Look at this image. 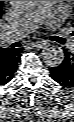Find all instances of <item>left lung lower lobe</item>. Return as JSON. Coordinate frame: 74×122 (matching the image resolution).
Returning <instances> with one entry per match:
<instances>
[{
  "instance_id": "left-lung-lower-lobe-1",
  "label": "left lung lower lobe",
  "mask_w": 74,
  "mask_h": 122,
  "mask_svg": "<svg viewBox=\"0 0 74 122\" xmlns=\"http://www.w3.org/2000/svg\"><path fill=\"white\" fill-rule=\"evenodd\" d=\"M64 60L57 66L50 68L52 78L64 87H74V50H64Z\"/></svg>"
}]
</instances>
